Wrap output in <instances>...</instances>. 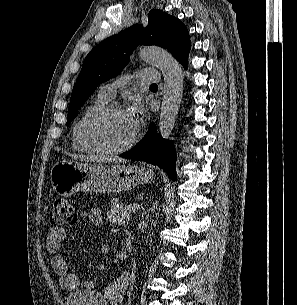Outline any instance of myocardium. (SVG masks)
<instances>
[{
  "instance_id": "myocardium-1",
  "label": "myocardium",
  "mask_w": 297,
  "mask_h": 305,
  "mask_svg": "<svg viewBox=\"0 0 297 305\" xmlns=\"http://www.w3.org/2000/svg\"><path fill=\"white\" fill-rule=\"evenodd\" d=\"M111 113H126L125 110L116 104H106L100 107L95 108L94 110L90 111L88 114H86L82 120L79 123L78 126V135L81 140V142L90 150L93 152L104 154V155H117L122 154L128 150H130L138 141V131L135 130L133 136L131 139L125 143L122 146L116 147V148H107L104 146H101L94 141H92L86 132L87 125L90 121L93 119L111 114Z\"/></svg>"
}]
</instances>
